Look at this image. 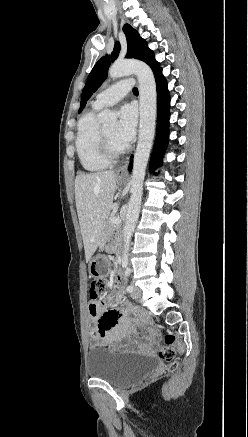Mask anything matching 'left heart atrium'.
<instances>
[{"label": "left heart atrium", "instance_id": "left-heart-atrium-1", "mask_svg": "<svg viewBox=\"0 0 248 437\" xmlns=\"http://www.w3.org/2000/svg\"><path fill=\"white\" fill-rule=\"evenodd\" d=\"M137 113L133 105L126 104L119 110V120L115 129V138L123 145L128 144L136 131Z\"/></svg>", "mask_w": 248, "mask_h": 437}]
</instances>
